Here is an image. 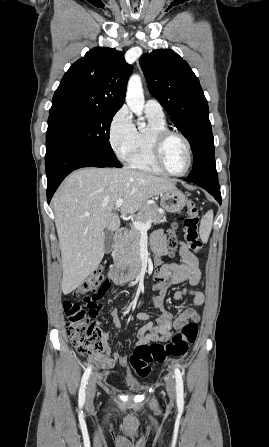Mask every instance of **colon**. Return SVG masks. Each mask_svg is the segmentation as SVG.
Listing matches in <instances>:
<instances>
[{
  "mask_svg": "<svg viewBox=\"0 0 269 447\" xmlns=\"http://www.w3.org/2000/svg\"><path fill=\"white\" fill-rule=\"evenodd\" d=\"M187 217L184 220L185 239L193 251L202 249L199 237L200 209L192 201L186 205ZM169 245L178 246L177 227L169 232ZM108 281L102 273H94L87 277L78 288L82 293L84 305L77 302H63V311L67 317V332L73 346L82 354L100 352L103 339H109L111 332L102 330L95 316L102 309L98 297L107 292ZM198 334V326L193 322L181 325L173 331L171 341L166 344L153 343L134 348L130 356L133 370L143 378L151 376L149 363H162L168 358H181L186 355L189 345L194 343Z\"/></svg>",
  "mask_w": 269,
  "mask_h": 447,
  "instance_id": "5ec220e1",
  "label": "colon"
}]
</instances>
